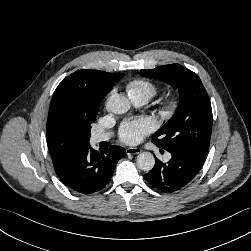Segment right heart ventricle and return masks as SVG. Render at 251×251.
Masks as SVG:
<instances>
[{
	"label": "right heart ventricle",
	"mask_w": 251,
	"mask_h": 251,
	"mask_svg": "<svg viewBox=\"0 0 251 251\" xmlns=\"http://www.w3.org/2000/svg\"><path fill=\"white\" fill-rule=\"evenodd\" d=\"M129 96H145L152 98L157 93V87L147 80H135L127 86Z\"/></svg>",
	"instance_id": "e07e8e85"
}]
</instances>
